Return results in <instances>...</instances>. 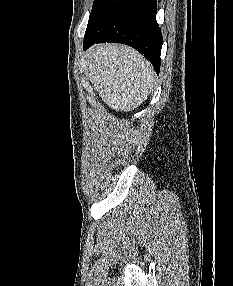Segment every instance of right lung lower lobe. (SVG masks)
<instances>
[{
  "label": "right lung lower lobe",
  "instance_id": "98d812e1",
  "mask_svg": "<svg viewBox=\"0 0 233 286\" xmlns=\"http://www.w3.org/2000/svg\"><path fill=\"white\" fill-rule=\"evenodd\" d=\"M102 42L135 48L159 73L163 40L156 22V0H102L90 14L84 49Z\"/></svg>",
  "mask_w": 233,
  "mask_h": 286
}]
</instances>
